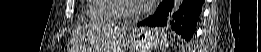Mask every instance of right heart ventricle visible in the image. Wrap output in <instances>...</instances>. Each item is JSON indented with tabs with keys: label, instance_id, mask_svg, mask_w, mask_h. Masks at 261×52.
I'll use <instances>...</instances> for the list:
<instances>
[{
	"label": "right heart ventricle",
	"instance_id": "right-heart-ventricle-1",
	"mask_svg": "<svg viewBox=\"0 0 261 52\" xmlns=\"http://www.w3.org/2000/svg\"><path fill=\"white\" fill-rule=\"evenodd\" d=\"M117 3L116 0H90L86 9L87 18L93 23H121V17L115 13Z\"/></svg>",
	"mask_w": 261,
	"mask_h": 52
}]
</instances>
